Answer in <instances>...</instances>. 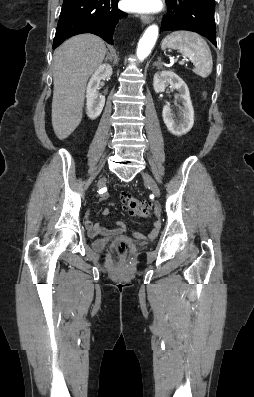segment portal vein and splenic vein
<instances>
[{
  "instance_id": "portal-vein-and-splenic-vein-1",
  "label": "portal vein and splenic vein",
  "mask_w": 254,
  "mask_h": 397,
  "mask_svg": "<svg viewBox=\"0 0 254 397\" xmlns=\"http://www.w3.org/2000/svg\"><path fill=\"white\" fill-rule=\"evenodd\" d=\"M185 63V61L184 60H182V61H179V64H184Z\"/></svg>"
}]
</instances>
